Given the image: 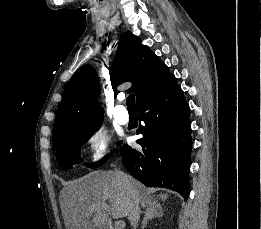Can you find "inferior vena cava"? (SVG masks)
Here are the masks:
<instances>
[{"instance_id":"obj_1","label":"inferior vena cava","mask_w":261,"mask_h":229,"mask_svg":"<svg viewBox=\"0 0 261 229\" xmlns=\"http://www.w3.org/2000/svg\"><path fill=\"white\" fill-rule=\"evenodd\" d=\"M116 173L117 175H120V177H122V181L125 185V189L131 201L130 215H129L130 225L132 229H137V225L140 217L139 199L134 191V187L132 185V181L130 177H127V175H125V173H122V171H116Z\"/></svg>"}]
</instances>
